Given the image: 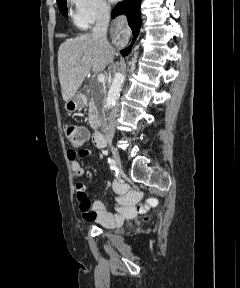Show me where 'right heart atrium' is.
<instances>
[{"label":"right heart atrium","mask_w":240,"mask_h":288,"mask_svg":"<svg viewBox=\"0 0 240 288\" xmlns=\"http://www.w3.org/2000/svg\"><path fill=\"white\" fill-rule=\"evenodd\" d=\"M74 6V19L80 27H87L104 20L109 15L105 0H71Z\"/></svg>","instance_id":"d8ad5b80"}]
</instances>
